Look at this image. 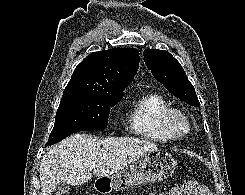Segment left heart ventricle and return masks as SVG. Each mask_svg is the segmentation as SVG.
<instances>
[{
    "mask_svg": "<svg viewBox=\"0 0 245 195\" xmlns=\"http://www.w3.org/2000/svg\"><path fill=\"white\" fill-rule=\"evenodd\" d=\"M173 126H174L175 130L179 133H183L187 129V125H186L185 121L179 117L174 118Z\"/></svg>",
    "mask_w": 245,
    "mask_h": 195,
    "instance_id": "b2bd125f",
    "label": "left heart ventricle"
}]
</instances>
